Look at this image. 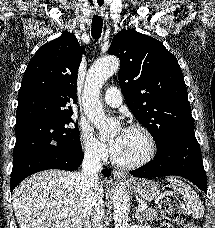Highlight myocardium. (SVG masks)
I'll return each instance as SVG.
<instances>
[{
	"mask_svg": "<svg viewBox=\"0 0 215 228\" xmlns=\"http://www.w3.org/2000/svg\"><path fill=\"white\" fill-rule=\"evenodd\" d=\"M127 130H138L140 131L146 140L147 148L145 153L137 160L133 162H123L117 160L114 155L112 154V162L113 164L120 169L123 170H131V169H136L139 168L145 164H147L155 155L156 152V142L154 139V136L152 132L147 128L146 126L142 124H131Z\"/></svg>",
	"mask_w": 215,
	"mask_h": 228,
	"instance_id": "obj_1",
	"label": "myocardium"
}]
</instances>
